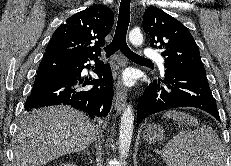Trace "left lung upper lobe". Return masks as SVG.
<instances>
[{
    "instance_id": "5c2ea615",
    "label": "left lung upper lobe",
    "mask_w": 231,
    "mask_h": 166,
    "mask_svg": "<svg viewBox=\"0 0 231 166\" xmlns=\"http://www.w3.org/2000/svg\"><path fill=\"white\" fill-rule=\"evenodd\" d=\"M143 30L150 35L151 46L163 50L165 68L205 71L198 46L188 29L157 7L144 12Z\"/></svg>"
}]
</instances>
